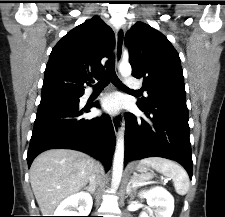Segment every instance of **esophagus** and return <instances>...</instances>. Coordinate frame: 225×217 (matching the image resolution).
<instances>
[{"label":"esophagus","mask_w":225,"mask_h":217,"mask_svg":"<svg viewBox=\"0 0 225 217\" xmlns=\"http://www.w3.org/2000/svg\"><path fill=\"white\" fill-rule=\"evenodd\" d=\"M124 36H125L124 27H118V29L116 31V47H115V62H116L117 68L122 59L123 48H124ZM112 124H113L115 134L119 135L121 128H122L121 117L118 115L113 116Z\"/></svg>","instance_id":"esophagus-1"}]
</instances>
